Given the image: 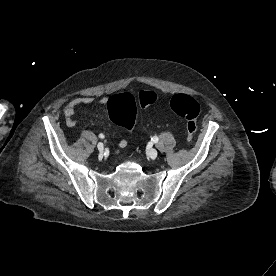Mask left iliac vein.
Segmentation results:
<instances>
[{
    "label": "left iliac vein",
    "instance_id": "1",
    "mask_svg": "<svg viewBox=\"0 0 276 276\" xmlns=\"http://www.w3.org/2000/svg\"><path fill=\"white\" fill-rule=\"evenodd\" d=\"M157 155H158V152H157L156 149H150V150H149V157H150L151 159H155V158L157 157Z\"/></svg>",
    "mask_w": 276,
    "mask_h": 276
}]
</instances>
